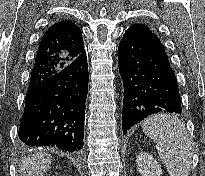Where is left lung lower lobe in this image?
I'll return each mask as SVG.
<instances>
[{
  "mask_svg": "<svg viewBox=\"0 0 205 176\" xmlns=\"http://www.w3.org/2000/svg\"><path fill=\"white\" fill-rule=\"evenodd\" d=\"M118 65L124 84V134L148 115L182 113L176 76L155 34L131 25L119 44Z\"/></svg>",
  "mask_w": 205,
  "mask_h": 176,
  "instance_id": "0a47b994",
  "label": "left lung lower lobe"
}]
</instances>
